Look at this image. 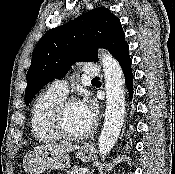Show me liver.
I'll return each instance as SVG.
<instances>
[{"mask_svg": "<svg viewBox=\"0 0 175 174\" xmlns=\"http://www.w3.org/2000/svg\"><path fill=\"white\" fill-rule=\"evenodd\" d=\"M78 149L77 145H73L71 143H62V144H45L36 147L34 150H48V151H59L63 153H68L71 151H75Z\"/></svg>", "mask_w": 175, "mask_h": 174, "instance_id": "obj_1", "label": "liver"}]
</instances>
